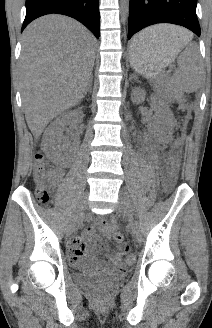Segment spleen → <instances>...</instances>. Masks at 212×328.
Here are the masks:
<instances>
[{"mask_svg": "<svg viewBox=\"0 0 212 328\" xmlns=\"http://www.w3.org/2000/svg\"><path fill=\"white\" fill-rule=\"evenodd\" d=\"M151 28L152 27L145 29L135 36V43L141 44V47L134 49H144L161 41L159 33ZM178 63L180 65V70L174 75L176 86L186 92L197 91L201 85L202 72L199 65V53L196 43H191L183 53H181L178 58Z\"/></svg>", "mask_w": 212, "mask_h": 328, "instance_id": "3e777b00", "label": "spleen"}]
</instances>
